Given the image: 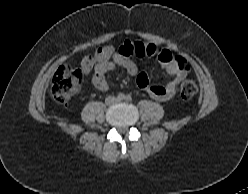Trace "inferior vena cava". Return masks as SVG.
<instances>
[{"mask_svg":"<svg viewBox=\"0 0 248 194\" xmlns=\"http://www.w3.org/2000/svg\"><path fill=\"white\" fill-rule=\"evenodd\" d=\"M116 102H117V98H115L114 96H109V97H107L106 100H105V103H106L107 105H112V104H114V103H116Z\"/></svg>","mask_w":248,"mask_h":194,"instance_id":"obj_1","label":"inferior vena cava"}]
</instances>
